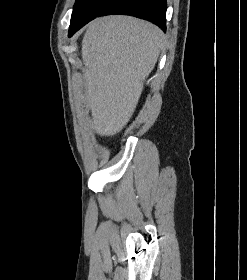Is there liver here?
Returning a JSON list of instances; mask_svg holds the SVG:
<instances>
[{"mask_svg": "<svg viewBox=\"0 0 247 280\" xmlns=\"http://www.w3.org/2000/svg\"><path fill=\"white\" fill-rule=\"evenodd\" d=\"M164 43L161 29L130 16L88 25L82 40L86 108L98 135L113 136L128 123Z\"/></svg>", "mask_w": 247, "mask_h": 280, "instance_id": "6515ba94", "label": "liver"}]
</instances>
